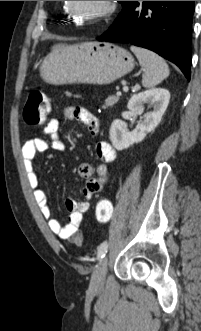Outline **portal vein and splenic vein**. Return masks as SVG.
Listing matches in <instances>:
<instances>
[{
  "instance_id": "1",
  "label": "portal vein and splenic vein",
  "mask_w": 201,
  "mask_h": 331,
  "mask_svg": "<svg viewBox=\"0 0 201 331\" xmlns=\"http://www.w3.org/2000/svg\"><path fill=\"white\" fill-rule=\"evenodd\" d=\"M123 91H124V92H127V91H128V87H127V86H124V87H123ZM117 95H121V93L118 92Z\"/></svg>"
}]
</instances>
